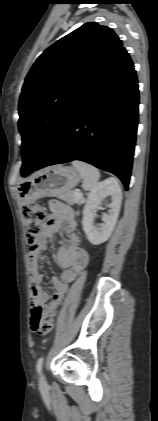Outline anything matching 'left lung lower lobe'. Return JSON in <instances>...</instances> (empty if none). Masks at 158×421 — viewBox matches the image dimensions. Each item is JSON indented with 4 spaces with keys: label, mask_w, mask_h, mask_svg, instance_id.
<instances>
[{
    "label": "left lung lower lobe",
    "mask_w": 158,
    "mask_h": 421,
    "mask_svg": "<svg viewBox=\"0 0 158 421\" xmlns=\"http://www.w3.org/2000/svg\"><path fill=\"white\" fill-rule=\"evenodd\" d=\"M138 105L136 72L122 46L71 108L34 170L78 159L115 174L127 190Z\"/></svg>",
    "instance_id": "0a47b994"
}]
</instances>
